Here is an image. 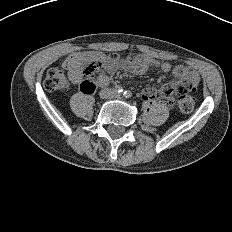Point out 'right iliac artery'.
Here are the masks:
<instances>
[{"label": "right iliac artery", "mask_w": 232, "mask_h": 232, "mask_svg": "<svg viewBox=\"0 0 232 232\" xmlns=\"http://www.w3.org/2000/svg\"><path fill=\"white\" fill-rule=\"evenodd\" d=\"M115 92H116L117 94H122V92H123L122 87L117 86L116 89H115Z\"/></svg>", "instance_id": "obj_1"}]
</instances>
